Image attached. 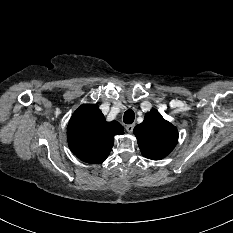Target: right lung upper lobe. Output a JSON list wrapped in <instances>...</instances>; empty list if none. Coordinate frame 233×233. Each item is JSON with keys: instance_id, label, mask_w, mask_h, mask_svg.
Returning <instances> with one entry per match:
<instances>
[{"instance_id": "1", "label": "right lung upper lobe", "mask_w": 233, "mask_h": 233, "mask_svg": "<svg viewBox=\"0 0 233 233\" xmlns=\"http://www.w3.org/2000/svg\"><path fill=\"white\" fill-rule=\"evenodd\" d=\"M124 134L117 121L107 122L96 104H83L72 115L67 138L71 151L82 161L104 162L114 144V136Z\"/></svg>"}]
</instances>
